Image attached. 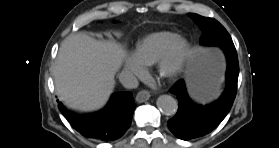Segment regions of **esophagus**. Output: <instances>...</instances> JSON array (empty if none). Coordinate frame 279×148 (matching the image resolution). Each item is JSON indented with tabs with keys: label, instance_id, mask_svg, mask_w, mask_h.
Listing matches in <instances>:
<instances>
[{
	"label": "esophagus",
	"instance_id": "obj_1",
	"mask_svg": "<svg viewBox=\"0 0 279 148\" xmlns=\"http://www.w3.org/2000/svg\"><path fill=\"white\" fill-rule=\"evenodd\" d=\"M150 97H151V95L148 90H142V91L138 92V94L136 95V101L138 103H143V102L149 100Z\"/></svg>",
	"mask_w": 279,
	"mask_h": 148
}]
</instances>
